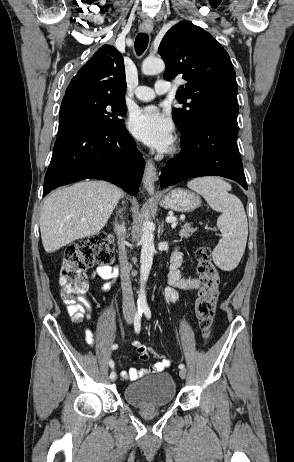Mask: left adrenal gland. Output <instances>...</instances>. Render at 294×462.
Returning <instances> with one entry per match:
<instances>
[{
  "label": "left adrenal gland",
  "instance_id": "obj_1",
  "mask_svg": "<svg viewBox=\"0 0 294 462\" xmlns=\"http://www.w3.org/2000/svg\"><path fill=\"white\" fill-rule=\"evenodd\" d=\"M163 225H164V223H162V232H163Z\"/></svg>",
  "mask_w": 294,
  "mask_h": 462
}]
</instances>
